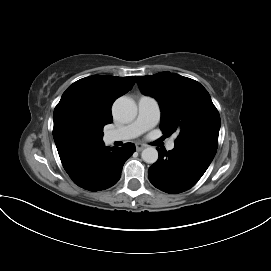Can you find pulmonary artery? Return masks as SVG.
<instances>
[{"label":"pulmonary artery","mask_w":271,"mask_h":271,"mask_svg":"<svg viewBox=\"0 0 271 271\" xmlns=\"http://www.w3.org/2000/svg\"><path fill=\"white\" fill-rule=\"evenodd\" d=\"M160 119V107L157 100L151 96L143 95L138 100L137 118L130 124L111 130L106 138L110 142L129 140L138 137L145 131L154 127ZM174 139L168 141L166 148L172 150Z\"/></svg>","instance_id":"pulmonary-artery-1"}]
</instances>
